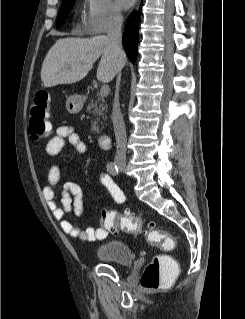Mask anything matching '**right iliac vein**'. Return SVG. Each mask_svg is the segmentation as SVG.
Wrapping results in <instances>:
<instances>
[{
	"instance_id": "1",
	"label": "right iliac vein",
	"mask_w": 245,
	"mask_h": 319,
	"mask_svg": "<svg viewBox=\"0 0 245 319\" xmlns=\"http://www.w3.org/2000/svg\"><path fill=\"white\" fill-rule=\"evenodd\" d=\"M117 166H118L120 171H122V172H126L127 171V166H126L125 162H118Z\"/></svg>"
}]
</instances>
